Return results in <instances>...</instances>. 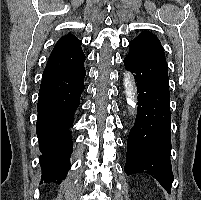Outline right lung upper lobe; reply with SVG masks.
Here are the masks:
<instances>
[{
    "label": "right lung upper lobe",
    "mask_w": 201,
    "mask_h": 200,
    "mask_svg": "<svg viewBox=\"0 0 201 200\" xmlns=\"http://www.w3.org/2000/svg\"><path fill=\"white\" fill-rule=\"evenodd\" d=\"M81 44L72 34L61 37L49 56L42 82L64 77L78 70L85 61Z\"/></svg>",
    "instance_id": "right-lung-upper-lobe-1"
}]
</instances>
